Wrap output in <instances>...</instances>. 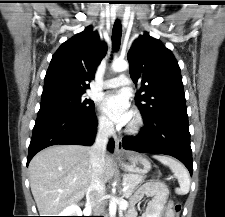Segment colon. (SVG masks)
Returning a JSON list of instances; mask_svg holds the SVG:
<instances>
[{"label": "colon", "mask_w": 225, "mask_h": 217, "mask_svg": "<svg viewBox=\"0 0 225 217\" xmlns=\"http://www.w3.org/2000/svg\"><path fill=\"white\" fill-rule=\"evenodd\" d=\"M180 211H181V204H180V202H175L174 205H173L174 216L178 217Z\"/></svg>", "instance_id": "colon-1"}]
</instances>
